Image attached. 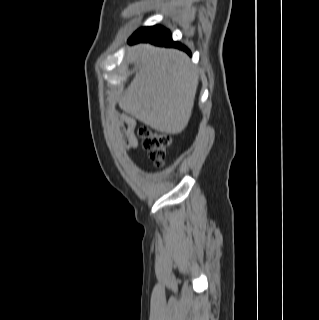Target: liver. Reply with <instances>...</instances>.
Listing matches in <instances>:
<instances>
[{
  "mask_svg": "<svg viewBox=\"0 0 319 320\" xmlns=\"http://www.w3.org/2000/svg\"><path fill=\"white\" fill-rule=\"evenodd\" d=\"M127 58L136 74L120 108L161 133H181L190 120L198 87V75L189 57L176 49L138 44Z\"/></svg>",
  "mask_w": 319,
  "mask_h": 320,
  "instance_id": "liver-1",
  "label": "liver"
}]
</instances>
